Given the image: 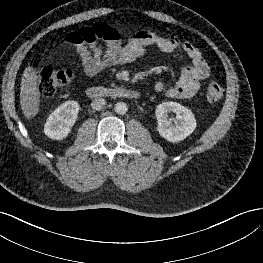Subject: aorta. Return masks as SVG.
<instances>
[{"instance_id":"aorta-1","label":"aorta","mask_w":263,"mask_h":263,"mask_svg":"<svg viewBox=\"0 0 263 263\" xmlns=\"http://www.w3.org/2000/svg\"><path fill=\"white\" fill-rule=\"evenodd\" d=\"M114 110L119 115H124L128 111V106L125 102H117L115 104Z\"/></svg>"}]
</instances>
